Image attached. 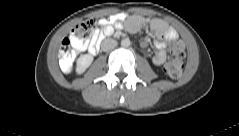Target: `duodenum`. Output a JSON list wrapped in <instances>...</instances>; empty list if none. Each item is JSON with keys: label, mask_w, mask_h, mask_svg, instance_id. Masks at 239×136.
<instances>
[{"label": "duodenum", "mask_w": 239, "mask_h": 136, "mask_svg": "<svg viewBox=\"0 0 239 136\" xmlns=\"http://www.w3.org/2000/svg\"><path fill=\"white\" fill-rule=\"evenodd\" d=\"M105 38V35H101L97 40L96 42L91 46L90 48V53L91 54H96L99 50V47H100V43L101 41Z\"/></svg>", "instance_id": "duodenum-1"}]
</instances>
